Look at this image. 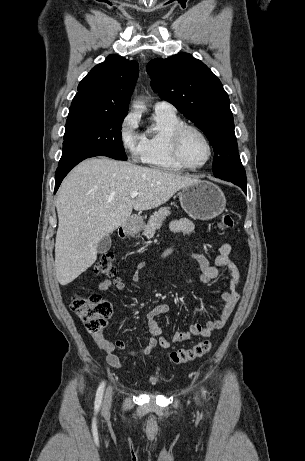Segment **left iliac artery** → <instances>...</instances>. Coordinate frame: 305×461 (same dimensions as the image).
<instances>
[{"label": "left iliac artery", "mask_w": 305, "mask_h": 461, "mask_svg": "<svg viewBox=\"0 0 305 461\" xmlns=\"http://www.w3.org/2000/svg\"><path fill=\"white\" fill-rule=\"evenodd\" d=\"M206 391L203 389V394L205 395Z\"/></svg>", "instance_id": "left-iliac-artery-1"}]
</instances>
